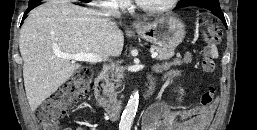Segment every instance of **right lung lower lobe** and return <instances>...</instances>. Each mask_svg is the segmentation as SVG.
<instances>
[{
  "mask_svg": "<svg viewBox=\"0 0 257 130\" xmlns=\"http://www.w3.org/2000/svg\"><path fill=\"white\" fill-rule=\"evenodd\" d=\"M31 1H33V2L29 4V6H28V8H27V10H26V12H25V14H24V16H23V20L26 18L25 15H26L30 10H32L33 8H35L36 6L39 5V4H38V3H39L38 1H35V0H31Z\"/></svg>",
  "mask_w": 257,
  "mask_h": 130,
  "instance_id": "right-lung-lower-lobe-1",
  "label": "right lung lower lobe"
}]
</instances>
